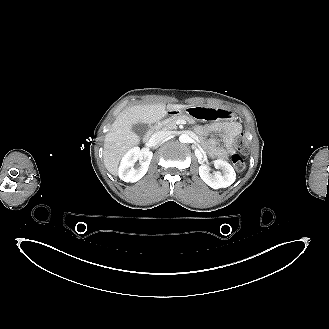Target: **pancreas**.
Returning <instances> with one entry per match:
<instances>
[{
    "label": "pancreas",
    "instance_id": "pancreas-1",
    "mask_svg": "<svg viewBox=\"0 0 329 329\" xmlns=\"http://www.w3.org/2000/svg\"><path fill=\"white\" fill-rule=\"evenodd\" d=\"M178 121H184V122H192V119L188 116L185 115H180V116H172L170 118H167L160 122L158 124L159 128L165 129V130H172V129H177V122Z\"/></svg>",
    "mask_w": 329,
    "mask_h": 329
}]
</instances>
